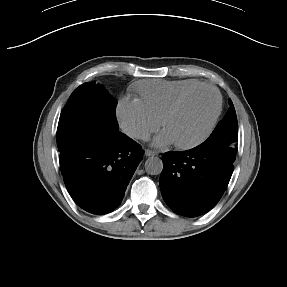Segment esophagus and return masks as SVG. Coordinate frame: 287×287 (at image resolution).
I'll list each match as a JSON object with an SVG mask.
<instances>
[{
	"mask_svg": "<svg viewBox=\"0 0 287 287\" xmlns=\"http://www.w3.org/2000/svg\"><path fill=\"white\" fill-rule=\"evenodd\" d=\"M157 154H158V152H156V151H152V150H149V149L145 150V156H147V157L154 156V155H157Z\"/></svg>",
	"mask_w": 287,
	"mask_h": 287,
	"instance_id": "1",
	"label": "esophagus"
}]
</instances>
